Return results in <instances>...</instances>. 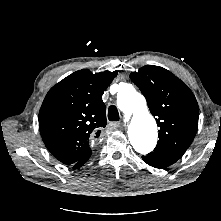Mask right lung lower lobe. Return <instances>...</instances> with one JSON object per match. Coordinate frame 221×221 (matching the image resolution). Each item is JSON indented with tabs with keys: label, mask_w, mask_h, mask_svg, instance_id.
<instances>
[{
	"label": "right lung lower lobe",
	"mask_w": 221,
	"mask_h": 221,
	"mask_svg": "<svg viewBox=\"0 0 221 221\" xmlns=\"http://www.w3.org/2000/svg\"><path fill=\"white\" fill-rule=\"evenodd\" d=\"M91 155L85 157L84 159L80 160L79 162H77L76 164L73 165V168H79L81 166H83V164L90 158Z\"/></svg>",
	"instance_id": "obj_1"
}]
</instances>
